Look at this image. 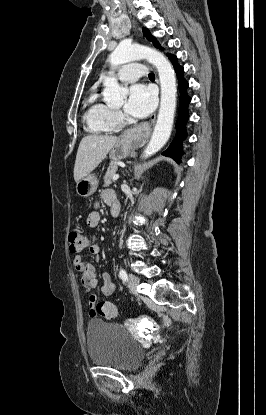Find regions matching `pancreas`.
<instances>
[{"instance_id":"1","label":"pancreas","mask_w":266,"mask_h":415,"mask_svg":"<svg viewBox=\"0 0 266 415\" xmlns=\"http://www.w3.org/2000/svg\"><path fill=\"white\" fill-rule=\"evenodd\" d=\"M117 169V165H112L107 169L106 174L104 176V186H109L112 183V177L113 175H115Z\"/></svg>"}]
</instances>
